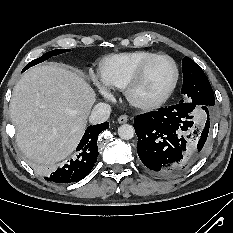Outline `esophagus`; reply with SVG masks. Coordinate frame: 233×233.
Instances as JSON below:
<instances>
[{"label": "esophagus", "instance_id": "1", "mask_svg": "<svg viewBox=\"0 0 233 233\" xmlns=\"http://www.w3.org/2000/svg\"><path fill=\"white\" fill-rule=\"evenodd\" d=\"M127 121H128V116H126V115H121L118 118V123H120V124L126 123Z\"/></svg>", "mask_w": 233, "mask_h": 233}]
</instances>
